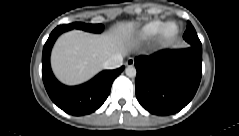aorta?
I'll list each match as a JSON object with an SVG mask.
<instances>
[{
  "instance_id": "1",
  "label": "aorta",
  "mask_w": 239,
  "mask_h": 136,
  "mask_svg": "<svg viewBox=\"0 0 239 136\" xmlns=\"http://www.w3.org/2000/svg\"><path fill=\"white\" fill-rule=\"evenodd\" d=\"M136 68L134 66H128L126 69H125V74L128 76V77H135L136 76Z\"/></svg>"
}]
</instances>
